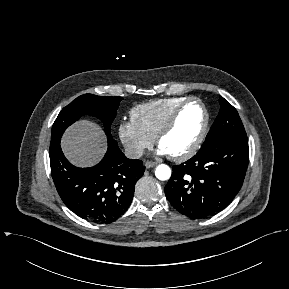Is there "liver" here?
Listing matches in <instances>:
<instances>
[{
  "mask_svg": "<svg viewBox=\"0 0 289 289\" xmlns=\"http://www.w3.org/2000/svg\"><path fill=\"white\" fill-rule=\"evenodd\" d=\"M61 147L74 165L88 167L97 163L106 152V136L98 124L81 120L66 130Z\"/></svg>",
  "mask_w": 289,
  "mask_h": 289,
  "instance_id": "6515ba94",
  "label": "liver"
}]
</instances>
